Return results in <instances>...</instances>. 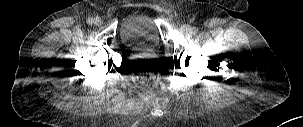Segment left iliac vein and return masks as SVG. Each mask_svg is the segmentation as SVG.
<instances>
[{"label":"left iliac vein","instance_id":"4c4485c4","mask_svg":"<svg viewBox=\"0 0 303 127\" xmlns=\"http://www.w3.org/2000/svg\"><path fill=\"white\" fill-rule=\"evenodd\" d=\"M181 31L186 34L192 33V28L189 25H182Z\"/></svg>","mask_w":303,"mask_h":127}]
</instances>
